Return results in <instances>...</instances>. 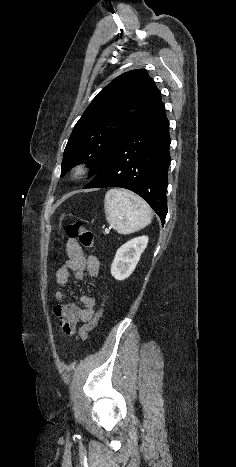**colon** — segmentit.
<instances>
[{
    "label": "colon",
    "mask_w": 236,
    "mask_h": 467,
    "mask_svg": "<svg viewBox=\"0 0 236 467\" xmlns=\"http://www.w3.org/2000/svg\"><path fill=\"white\" fill-rule=\"evenodd\" d=\"M65 234L70 239H73V240L77 239L79 243L84 247H87V248L94 247L93 232L85 228L82 222L79 220L69 223L65 229ZM100 316H101V310L98 311L97 315L91 322L83 325L79 329V336L82 340H87L89 332L97 325Z\"/></svg>",
    "instance_id": "1"
}]
</instances>
